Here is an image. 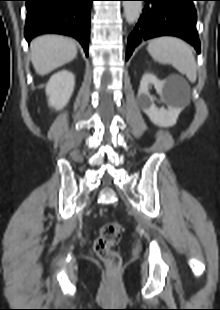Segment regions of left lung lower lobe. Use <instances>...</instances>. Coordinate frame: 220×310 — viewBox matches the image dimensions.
I'll return each instance as SVG.
<instances>
[{"label":"left lung lower lobe","instance_id":"0a47b994","mask_svg":"<svg viewBox=\"0 0 220 310\" xmlns=\"http://www.w3.org/2000/svg\"><path fill=\"white\" fill-rule=\"evenodd\" d=\"M141 1H144L143 14L129 36L126 60L141 42L165 35L182 38L200 52L195 0Z\"/></svg>","mask_w":220,"mask_h":310}]
</instances>
